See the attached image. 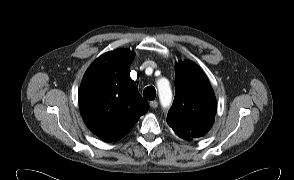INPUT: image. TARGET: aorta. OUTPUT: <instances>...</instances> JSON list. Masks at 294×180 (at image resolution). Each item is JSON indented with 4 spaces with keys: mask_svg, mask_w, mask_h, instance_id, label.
<instances>
[{
    "mask_svg": "<svg viewBox=\"0 0 294 180\" xmlns=\"http://www.w3.org/2000/svg\"><path fill=\"white\" fill-rule=\"evenodd\" d=\"M157 88L161 105L163 107H168L172 101V91L169 81L165 78L158 80Z\"/></svg>",
    "mask_w": 294,
    "mask_h": 180,
    "instance_id": "aorta-1",
    "label": "aorta"
}]
</instances>
